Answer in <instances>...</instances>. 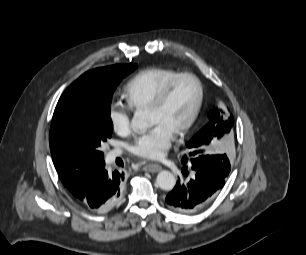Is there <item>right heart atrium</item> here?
Listing matches in <instances>:
<instances>
[{
  "instance_id": "1",
  "label": "right heart atrium",
  "mask_w": 306,
  "mask_h": 255,
  "mask_svg": "<svg viewBox=\"0 0 306 255\" xmlns=\"http://www.w3.org/2000/svg\"><path fill=\"white\" fill-rule=\"evenodd\" d=\"M109 120L115 133L121 136L128 135L132 131V119L129 112L117 105L111 106Z\"/></svg>"
}]
</instances>
